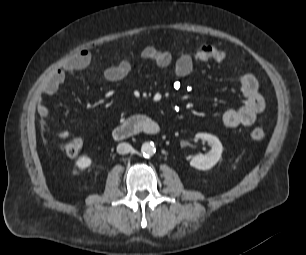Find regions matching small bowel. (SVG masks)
I'll return each instance as SVG.
<instances>
[{
    "label": "small bowel",
    "instance_id": "small-bowel-1",
    "mask_svg": "<svg viewBox=\"0 0 306 255\" xmlns=\"http://www.w3.org/2000/svg\"><path fill=\"white\" fill-rule=\"evenodd\" d=\"M141 56L143 59L153 62L159 68H167L174 64L175 75L184 78L189 76L197 66L210 61H223L226 54L209 44L200 46L194 52L180 51L178 53L148 45L142 50ZM90 61V52L83 49L71 57L61 69L52 72L44 80L36 97L37 113L41 118L45 119L49 115V108L44 97L54 95L64 83L67 74H73L85 68ZM131 69V62L122 59L117 64L105 68L102 76L106 81L118 82L125 79L130 74ZM239 81L245 102L238 108H228L223 112L222 121L229 128L251 126L265 108V101L259 92V84L255 75L244 73L240 76ZM43 126L46 127V124L43 123ZM56 136L60 139H66L69 137V132L61 129L56 132Z\"/></svg>",
    "mask_w": 306,
    "mask_h": 255
}]
</instances>
